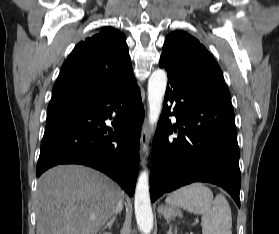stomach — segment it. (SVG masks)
Here are the masks:
<instances>
[{"label": "stomach", "instance_id": "0dacf381", "mask_svg": "<svg viewBox=\"0 0 279 234\" xmlns=\"http://www.w3.org/2000/svg\"><path fill=\"white\" fill-rule=\"evenodd\" d=\"M159 211L166 219L179 215V210L174 205L162 206Z\"/></svg>", "mask_w": 279, "mask_h": 234}]
</instances>
